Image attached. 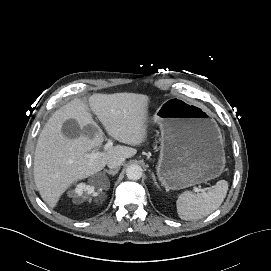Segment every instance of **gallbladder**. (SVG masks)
Masks as SVG:
<instances>
[{
	"label": "gallbladder",
	"mask_w": 271,
	"mask_h": 271,
	"mask_svg": "<svg viewBox=\"0 0 271 271\" xmlns=\"http://www.w3.org/2000/svg\"><path fill=\"white\" fill-rule=\"evenodd\" d=\"M95 131V127L93 125L86 126L83 130H81L79 124L73 120H66L62 127V133L70 139H74L79 137L81 133L85 135H91Z\"/></svg>",
	"instance_id": "obj_1"
}]
</instances>
